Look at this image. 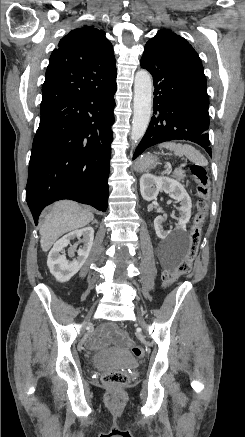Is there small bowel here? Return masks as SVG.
I'll return each instance as SVG.
<instances>
[{
  "label": "small bowel",
  "instance_id": "c3829d8e",
  "mask_svg": "<svg viewBox=\"0 0 245 437\" xmlns=\"http://www.w3.org/2000/svg\"><path fill=\"white\" fill-rule=\"evenodd\" d=\"M105 332H106L108 335L113 336L114 338H116V340H117L121 345H129V344H130V340H129L126 336H124V335H122V334H119V333H117V332H115V331H113V330H108V329H105Z\"/></svg>",
  "mask_w": 245,
  "mask_h": 437
}]
</instances>
